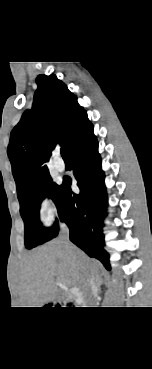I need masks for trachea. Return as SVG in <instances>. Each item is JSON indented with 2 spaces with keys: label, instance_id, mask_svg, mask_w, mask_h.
Masks as SVG:
<instances>
[{
  "label": "trachea",
  "instance_id": "trachea-1",
  "mask_svg": "<svg viewBox=\"0 0 152 369\" xmlns=\"http://www.w3.org/2000/svg\"><path fill=\"white\" fill-rule=\"evenodd\" d=\"M61 155L64 159H68V155L64 147L61 148Z\"/></svg>",
  "mask_w": 152,
  "mask_h": 369
}]
</instances>
